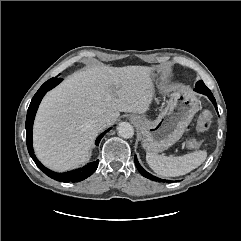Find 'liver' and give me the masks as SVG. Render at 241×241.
Segmentation results:
<instances>
[{
	"instance_id": "liver-1",
	"label": "liver",
	"mask_w": 241,
	"mask_h": 241,
	"mask_svg": "<svg viewBox=\"0 0 241 241\" xmlns=\"http://www.w3.org/2000/svg\"><path fill=\"white\" fill-rule=\"evenodd\" d=\"M152 80V68L146 66H94L67 77L46 94L37 112L33 140L38 159L55 171L87 162L101 131L94 121L106 116L111 125L120 112L144 114L152 101Z\"/></svg>"
}]
</instances>
